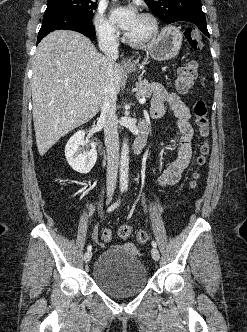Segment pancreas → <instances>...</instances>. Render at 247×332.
I'll return each instance as SVG.
<instances>
[{
  "mask_svg": "<svg viewBox=\"0 0 247 332\" xmlns=\"http://www.w3.org/2000/svg\"><path fill=\"white\" fill-rule=\"evenodd\" d=\"M152 94V88L150 83L147 80L138 81L136 83V97L137 98H143L147 97L149 98Z\"/></svg>",
  "mask_w": 247,
  "mask_h": 332,
  "instance_id": "obj_1",
  "label": "pancreas"
}]
</instances>
